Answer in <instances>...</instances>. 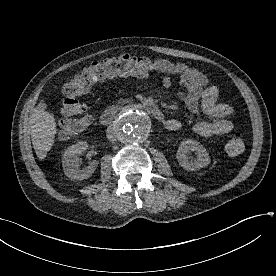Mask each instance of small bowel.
I'll return each instance as SVG.
<instances>
[{"mask_svg": "<svg viewBox=\"0 0 276 276\" xmlns=\"http://www.w3.org/2000/svg\"><path fill=\"white\" fill-rule=\"evenodd\" d=\"M154 71L163 73V87L168 89L177 77L180 86L178 98L194 112H202L211 118L210 121H200L193 127L194 132L201 137L224 136L231 132L233 124L229 120L234 115V108L226 103L218 102L219 90L211 85L207 77L198 69L184 63H175L166 59L153 60ZM165 127L175 131L181 127L177 119H167Z\"/></svg>", "mask_w": 276, "mask_h": 276, "instance_id": "obj_1", "label": "small bowel"}]
</instances>
